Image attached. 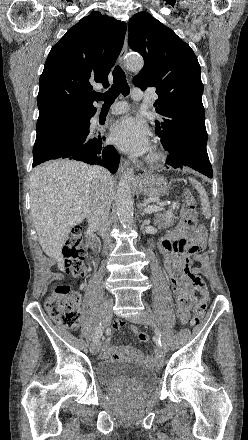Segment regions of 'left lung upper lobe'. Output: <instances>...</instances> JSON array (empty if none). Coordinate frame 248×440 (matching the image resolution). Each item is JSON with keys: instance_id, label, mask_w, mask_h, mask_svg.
Here are the masks:
<instances>
[{"instance_id": "left-lung-upper-lobe-1", "label": "left lung upper lobe", "mask_w": 248, "mask_h": 440, "mask_svg": "<svg viewBox=\"0 0 248 440\" xmlns=\"http://www.w3.org/2000/svg\"><path fill=\"white\" fill-rule=\"evenodd\" d=\"M128 44L144 58L134 78L141 90L156 88L155 111L162 116L155 131L163 146L177 141L207 144L200 65L191 47L147 12L128 24Z\"/></svg>"}]
</instances>
